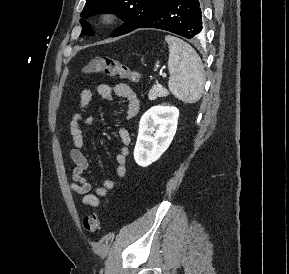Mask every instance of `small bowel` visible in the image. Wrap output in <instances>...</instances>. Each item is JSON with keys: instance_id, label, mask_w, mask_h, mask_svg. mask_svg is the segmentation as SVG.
Masks as SVG:
<instances>
[{"instance_id": "small-bowel-1", "label": "small bowel", "mask_w": 289, "mask_h": 274, "mask_svg": "<svg viewBox=\"0 0 289 274\" xmlns=\"http://www.w3.org/2000/svg\"><path fill=\"white\" fill-rule=\"evenodd\" d=\"M94 93L107 101H114L115 97H120L125 103V117L133 119L139 112L140 100L136 92L125 83H117L113 87L107 84H96L87 87L80 93V110L76 112L70 122V135L73 147L69 150V156L75 167L72 172V184L70 189L73 193L81 195V203L89 207H99L101 198L106 197L110 191L117 187V181L104 179L100 185L93 187L84 177V172L89 167V161L83 152L85 146L84 129L91 125L95 118L86 116V110L89 107ZM118 137L121 143L118 154L115 157V174L118 178L126 175V161L129 155V144L131 141L127 129L120 128Z\"/></svg>"}]
</instances>
